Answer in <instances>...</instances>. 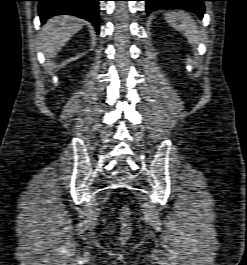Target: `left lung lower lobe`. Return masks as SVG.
<instances>
[{"instance_id": "0a47b994", "label": "left lung lower lobe", "mask_w": 247, "mask_h": 265, "mask_svg": "<svg viewBox=\"0 0 247 265\" xmlns=\"http://www.w3.org/2000/svg\"><path fill=\"white\" fill-rule=\"evenodd\" d=\"M146 1V11L161 7H181L193 11L199 17H202L205 11L204 1L209 0H143Z\"/></svg>"}]
</instances>
